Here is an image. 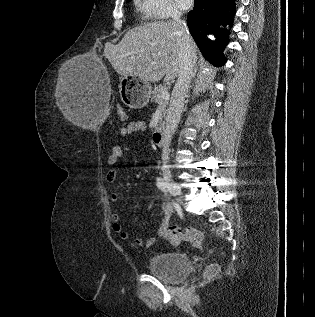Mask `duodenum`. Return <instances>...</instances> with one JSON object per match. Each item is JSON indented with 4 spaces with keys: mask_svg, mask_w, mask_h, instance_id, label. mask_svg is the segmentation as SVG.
<instances>
[{
    "mask_svg": "<svg viewBox=\"0 0 315 317\" xmlns=\"http://www.w3.org/2000/svg\"><path fill=\"white\" fill-rule=\"evenodd\" d=\"M153 140L158 146H163L166 141V132L162 127H157L153 133Z\"/></svg>",
    "mask_w": 315,
    "mask_h": 317,
    "instance_id": "1",
    "label": "duodenum"
}]
</instances>
